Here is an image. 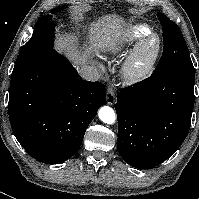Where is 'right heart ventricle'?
Masks as SVG:
<instances>
[{
	"label": "right heart ventricle",
	"instance_id": "right-heart-ventricle-1",
	"mask_svg": "<svg viewBox=\"0 0 199 199\" xmlns=\"http://www.w3.org/2000/svg\"><path fill=\"white\" fill-rule=\"evenodd\" d=\"M150 32L149 26L135 24L117 34L104 44L105 49L112 55H118L127 50L133 43Z\"/></svg>",
	"mask_w": 199,
	"mask_h": 199
}]
</instances>
